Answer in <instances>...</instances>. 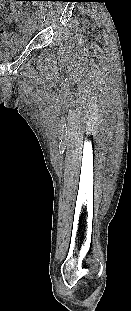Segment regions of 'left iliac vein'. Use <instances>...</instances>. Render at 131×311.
<instances>
[{
	"instance_id": "obj_1",
	"label": "left iliac vein",
	"mask_w": 131,
	"mask_h": 311,
	"mask_svg": "<svg viewBox=\"0 0 131 311\" xmlns=\"http://www.w3.org/2000/svg\"><path fill=\"white\" fill-rule=\"evenodd\" d=\"M41 26H42V21L40 20V21H39V27H41Z\"/></svg>"
}]
</instances>
